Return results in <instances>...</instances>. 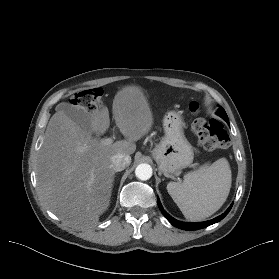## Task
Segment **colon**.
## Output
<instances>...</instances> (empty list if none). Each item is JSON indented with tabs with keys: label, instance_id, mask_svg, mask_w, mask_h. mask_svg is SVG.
Masks as SVG:
<instances>
[{
	"label": "colon",
	"instance_id": "5ec220e1",
	"mask_svg": "<svg viewBox=\"0 0 279 279\" xmlns=\"http://www.w3.org/2000/svg\"><path fill=\"white\" fill-rule=\"evenodd\" d=\"M102 95L103 91L100 88L86 90L78 93L72 100V104L92 113L101 106ZM189 107L192 113H198L197 102H192ZM192 130L206 149H223L229 145L228 134L223 124L217 120L208 121L202 117H196L192 123Z\"/></svg>",
	"mask_w": 279,
	"mask_h": 279
}]
</instances>
